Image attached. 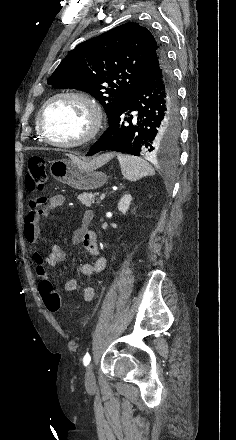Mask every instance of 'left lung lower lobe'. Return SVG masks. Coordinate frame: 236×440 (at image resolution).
Here are the masks:
<instances>
[{
	"instance_id": "left-lung-lower-lobe-1",
	"label": "left lung lower lobe",
	"mask_w": 236,
	"mask_h": 440,
	"mask_svg": "<svg viewBox=\"0 0 236 440\" xmlns=\"http://www.w3.org/2000/svg\"><path fill=\"white\" fill-rule=\"evenodd\" d=\"M138 111L136 116L131 112ZM177 89L165 53L151 58L134 91L87 156L112 150L140 156L173 144L178 136Z\"/></svg>"
}]
</instances>
